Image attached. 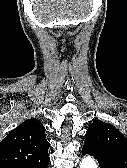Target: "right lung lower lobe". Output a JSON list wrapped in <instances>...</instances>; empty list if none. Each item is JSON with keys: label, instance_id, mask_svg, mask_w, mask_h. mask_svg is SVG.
Masks as SVG:
<instances>
[{"label": "right lung lower lobe", "instance_id": "1", "mask_svg": "<svg viewBox=\"0 0 127 168\" xmlns=\"http://www.w3.org/2000/svg\"><path fill=\"white\" fill-rule=\"evenodd\" d=\"M49 159L43 164H8L3 165L0 168H47Z\"/></svg>", "mask_w": 127, "mask_h": 168}]
</instances>
